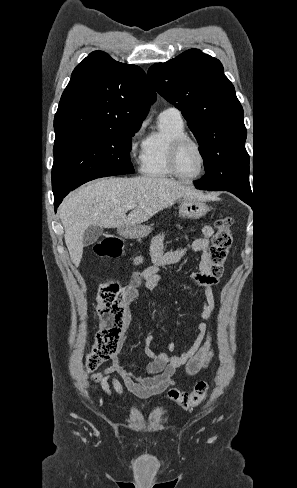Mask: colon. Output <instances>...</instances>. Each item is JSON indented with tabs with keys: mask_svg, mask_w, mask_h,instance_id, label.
Listing matches in <instances>:
<instances>
[{
	"mask_svg": "<svg viewBox=\"0 0 297 488\" xmlns=\"http://www.w3.org/2000/svg\"><path fill=\"white\" fill-rule=\"evenodd\" d=\"M232 224L233 219L228 216L220 217L215 223L216 233L213 236L210 250L208 271L211 278L216 281L224 272V264L232 245ZM94 250L99 256L117 258L122 255L123 246L120 239L109 236L99 241ZM122 288L118 283H106L98 291L96 303L100 317V331L86 358V367L90 371L96 369L119 350L126 316ZM208 390V384L201 381L194 386L191 392L171 389L167 393V398L181 408L189 409L204 401Z\"/></svg>",
	"mask_w": 297,
	"mask_h": 488,
	"instance_id": "5ec220e1",
	"label": "colon"
}]
</instances>
